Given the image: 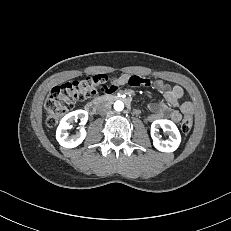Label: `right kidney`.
Here are the masks:
<instances>
[{
    "instance_id": "obj_1",
    "label": "right kidney",
    "mask_w": 231,
    "mask_h": 231,
    "mask_svg": "<svg viewBox=\"0 0 231 231\" xmlns=\"http://www.w3.org/2000/svg\"><path fill=\"white\" fill-rule=\"evenodd\" d=\"M81 120V125L86 124L88 120V112L85 110H76L64 116L57 128L56 139L59 144L65 148H74L83 142L86 137V130L81 127L75 135L69 136L67 130L72 127L71 123Z\"/></svg>"
}]
</instances>
